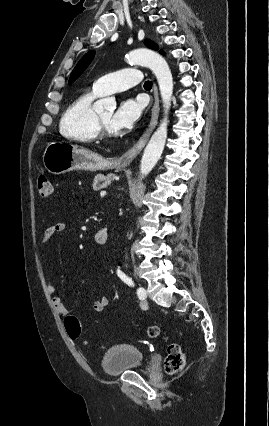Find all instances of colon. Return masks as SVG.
<instances>
[{
	"mask_svg": "<svg viewBox=\"0 0 269 426\" xmlns=\"http://www.w3.org/2000/svg\"><path fill=\"white\" fill-rule=\"evenodd\" d=\"M37 188L39 194L45 198L51 197L54 193L53 184L42 168H40L37 175ZM65 328L71 339L81 338V325L75 316L69 315L65 318ZM147 335L152 339L163 337L165 340H168L166 333L159 326L148 327ZM185 363L186 356L181 345L170 341L167 346V357L165 359L166 372L170 375H175L184 368Z\"/></svg>",
	"mask_w": 269,
	"mask_h": 426,
	"instance_id": "5ec220e1",
	"label": "colon"
}]
</instances>
